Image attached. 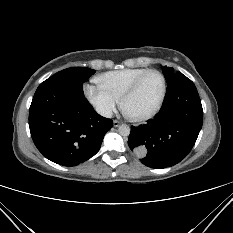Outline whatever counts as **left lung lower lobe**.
Listing matches in <instances>:
<instances>
[{
    "label": "left lung lower lobe",
    "mask_w": 233,
    "mask_h": 233,
    "mask_svg": "<svg viewBox=\"0 0 233 233\" xmlns=\"http://www.w3.org/2000/svg\"><path fill=\"white\" fill-rule=\"evenodd\" d=\"M203 122L201 100L194 83L177 72L167 86L158 114L132 126L128 145L151 168L179 163L193 148Z\"/></svg>",
    "instance_id": "left-lung-lower-lobe-1"
}]
</instances>
